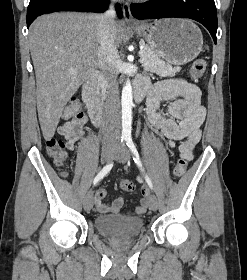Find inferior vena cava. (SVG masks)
<instances>
[{
    "mask_svg": "<svg viewBox=\"0 0 247 280\" xmlns=\"http://www.w3.org/2000/svg\"><path fill=\"white\" fill-rule=\"evenodd\" d=\"M113 3L117 0H111ZM115 10L113 5L99 16L98 64L106 77L109 87L104 113V142H116L120 138V100L117 86L119 55L115 45Z\"/></svg>",
    "mask_w": 247,
    "mask_h": 280,
    "instance_id": "1",
    "label": "inferior vena cava"
}]
</instances>
